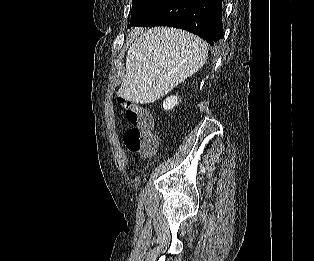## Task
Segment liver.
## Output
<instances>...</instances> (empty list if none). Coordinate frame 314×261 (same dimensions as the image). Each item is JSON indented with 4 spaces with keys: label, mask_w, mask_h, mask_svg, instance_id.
Here are the masks:
<instances>
[{
    "label": "liver",
    "mask_w": 314,
    "mask_h": 261,
    "mask_svg": "<svg viewBox=\"0 0 314 261\" xmlns=\"http://www.w3.org/2000/svg\"><path fill=\"white\" fill-rule=\"evenodd\" d=\"M207 43L181 29L153 27L130 45L126 74L117 95L138 104L153 103L199 71Z\"/></svg>",
    "instance_id": "1"
}]
</instances>
